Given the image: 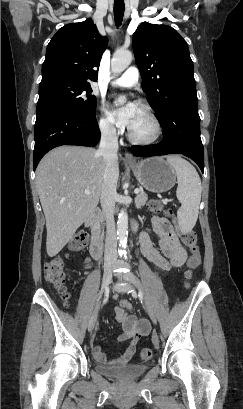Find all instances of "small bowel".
<instances>
[{
  "instance_id": "small-bowel-1",
  "label": "small bowel",
  "mask_w": 243,
  "mask_h": 409,
  "mask_svg": "<svg viewBox=\"0 0 243 409\" xmlns=\"http://www.w3.org/2000/svg\"><path fill=\"white\" fill-rule=\"evenodd\" d=\"M152 224L158 237V247H155L146 232L140 233L141 250L144 256L158 269L169 271L184 265L187 248L176 235L170 222L163 217H153ZM90 266L89 263L85 268ZM115 299L118 298L116 294ZM132 305L127 300H120L115 306V316L122 325V333L117 337L118 342L129 341L124 353L114 359L108 358L99 345L91 344L94 359L101 363L126 364L135 354L140 337L147 334L149 326L146 321L139 320L130 311Z\"/></svg>"
}]
</instances>
